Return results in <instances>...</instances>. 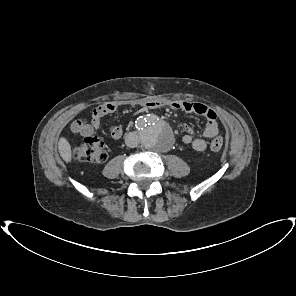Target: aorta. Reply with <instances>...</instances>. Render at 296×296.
Wrapping results in <instances>:
<instances>
[{"instance_id": "762f6f07", "label": "aorta", "mask_w": 296, "mask_h": 296, "mask_svg": "<svg viewBox=\"0 0 296 296\" xmlns=\"http://www.w3.org/2000/svg\"><path fill=\"white\" fill-rule=\"evenodd\" d=\"M139 138L142 145L155 152L168 151L174 142L171 128L155 115L139 118L137 121Z\"/></svg>"}]
</instances>
